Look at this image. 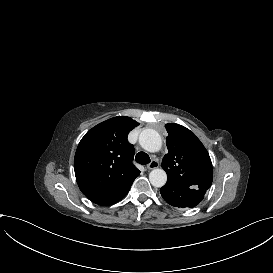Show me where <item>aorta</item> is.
Returning <instances> with one entry per match:
<instances>
[{"mask_svg":"<svg viewBox=\"0 0 273 273\" xmlns=\"http://www.w3.org/2000/svg\"><path fill=\"white\" fill-rule=\"evenodd\" d=\"M139 143L148 152H157L162 147V139L153 129L143 130L139 135ZM149 180L154 187H162L166 184L167 174L163 169L157 168L150 172Z\"/></svg>","mask_w":273,"mask_h":273,"instance_id":"1","label":"aorta"}]
</instances>
